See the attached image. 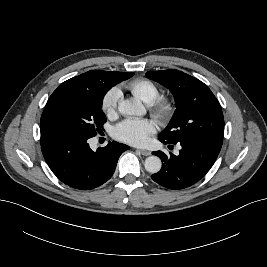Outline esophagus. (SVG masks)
<instances>
[{
	"mask_svg": "<svg viewBox=\"0 0 267 267\" xmlns=\"http://www.w3.org/2000/svg\"><path fill=\"white\" fill-rule=\"evenodd\" d=\"M137 151H139L144 156H149L151 154L150 151L145 150V149H138Z\"/></svg>",
	"mask_w": 267,
	"mask_h": 267,
	"instance_id": "34e87169",
	"label": "esophagus"
}]
</instances>
